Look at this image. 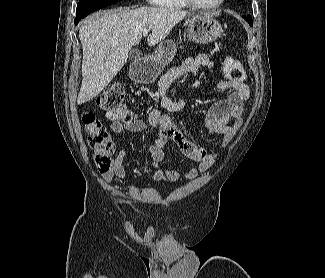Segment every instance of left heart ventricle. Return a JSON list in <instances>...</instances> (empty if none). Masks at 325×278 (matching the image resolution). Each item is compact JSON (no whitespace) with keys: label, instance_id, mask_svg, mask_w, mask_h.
<instances>
[{"label":"left heart ventricle","instance_id":"obj_1","mask_svg":"<svg viewBox=\"0 0 325 278\" xmlns=\"http://www.w3.org/2000/svg\"><path fill=\"white\" fill-rule=\"evenodd\" d=\"M196 1L203 5H211L216 3L218 0H196Z\"/></svg>","mask_w":325,"mask_h":278}]
</instances>
